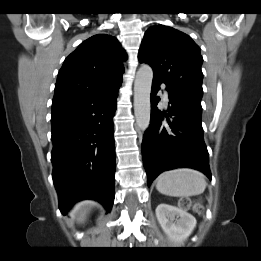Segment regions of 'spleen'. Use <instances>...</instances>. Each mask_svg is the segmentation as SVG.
<instances>
[{
	"label": "spleen",
	"instance_id": "obj_1",
	"mask_svg": "<svg viewBox=\"0 0 261 261\" xmlns=\"http://www.w3.org/2000/svg\"><path fill=\"white\" fill-rule=\"evenodd\" d=\"M205 176L193 169L181 168L163 172L156 180V189L168 196L189 197L204 192Z\"/></svg>",
	"mask_w": 261,
	"mask_h": 261
}]
</instances>
